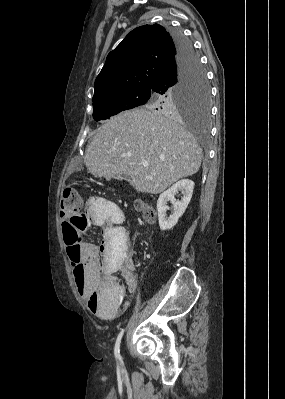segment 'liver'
<instances>
[{
  "label": "liver",
  "instance_id": "obj_1",
  "mask_svg": "<svg viewBox=\"0 0 285 399\" xmlns=\"http://www.w3.org/2000/svg\"><path fill=\"white\" fill-rule=\"evenodd\" d=\"M202 156L189 131L159 112L139 108L119 113L99 128L85 163L95 176L110 180L124 173L137 192L158 194L198 172Z\"/></svg>",
  "mask_w": 285,
  "mask_h": 399
}]
</instances>
